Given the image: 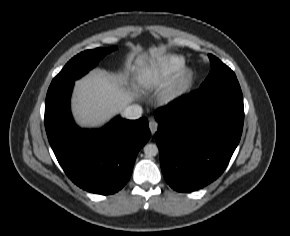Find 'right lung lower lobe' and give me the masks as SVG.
Masks as SVG:
<instances>
[{"mask_svg":"<svg viewBox=\"0 0 290 236\" xmlns=\"http://www.w3.org/2000/svg\"><path fill=\"white\" fill-rule=\"evenodd\" d=\"M74 81L51 84L45 101V129L53 152L77 186L113 194L129 180L136 156L151 136L147 118L116 117L100 130L75 125L70 113Z\"/></svg>","mask_w":290,"mask_h":236,"instance_id":"1","label":"right lung lower lobe"}]
</instances>
